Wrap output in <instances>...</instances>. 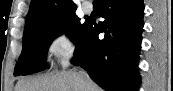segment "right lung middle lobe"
<instances>
[{
    "instance_id": "1",
    "label": "right lung middle lobe",
    "mask_w": 173,
    "mask_h": 91,
    "mask_svg": "<svg viewBox=\"0 0 173 91\" xmlns=\"http://www.w3.org/2000/svg\"><path fill=\"white\" fill-rule=\"evenodd\" d=\"M89 21L80 22L73 14L59 21L43 23L24 30L21 56L15 66L14 76L28 75L45 68V55L57 36L66 34L77 45L85 34Z\"/></svg>"
}]
</instances>
